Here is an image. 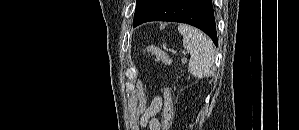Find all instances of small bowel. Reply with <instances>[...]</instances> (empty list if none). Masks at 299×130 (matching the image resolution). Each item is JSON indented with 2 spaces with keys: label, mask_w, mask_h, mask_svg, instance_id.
I'll return each mask as SVG.
<instances>
[{
  "label": "small bowel",
  "mask_w": 299,
  "mask_h": 130,
  "mask_svg": "<svg viewBox=\"0 0 299 130\" xmlns=\"http://www.w3.org/2000/svg\"><path fill=\"white\" fill-rule=\"evenodd\" d=\"M162 105V98L160 96L154 97L149 107L143 113L140 125L148 128L149 130H160L161 124L156 116L160 112Z\"/></svg>",
  "instance_id": "obj_1"
}]
</instances>
